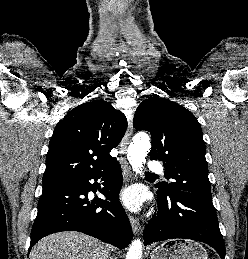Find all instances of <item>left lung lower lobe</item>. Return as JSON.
Masks as SVG:
<instances>
[{
    "label": "left lung lower lobe",
    "mask_w": 248,
    "mask_h": 259,
    "mask_svg": "<svg viewBox=\"0 0 248 259\" xmlns=\"http://www.w3.org/2000/svg\"><path fill=\"white\" fill-rule=\"evenodd\" d=\"M158 213L146 226L145 244L175 238L204 242L225 257V246L220 233L212 200L166 196L157 191Z\"/></svg>",
    "instance_id": "obj_1"
}]
</instances>
